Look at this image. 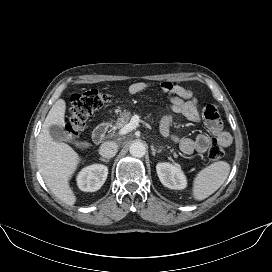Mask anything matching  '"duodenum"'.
<instances>
[{
	"label": "duodenum",
	"mask_w": 272,
	"mask_h": 272,
	"mask_svg": "<svg viewBox=\"0 0 272 272\" xmlns=\"http://www.w3.org/2000/svg\"><path fill=\"white\" fill-rule=\"evenodd\" d=\"M107 131H108V124L107 123H102V124L98 125L94 129L93 134H92L93 141L96 144L101 143L105 139Z\"/></svg>",
	"instance_id": "duodenum-1"
}]
</instances>
